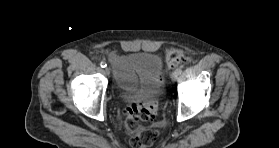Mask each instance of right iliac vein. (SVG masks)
<instances>
[{"mask_svg":"<svg viewBox=\"0 0 279 148\" xmlns=\"http://www.w3.org/2000/svg\"><path fill=\"white\" fill-rule=\"evenodd\" d=\"M104 73H105L106 75H109V74H110V69H109L108 67H106V68L104 69Z\"/></svg>","mask_w":279,"mask_h":148,"instance_id":"63e3f726","label":"right iliac vein"}]
</instances>
